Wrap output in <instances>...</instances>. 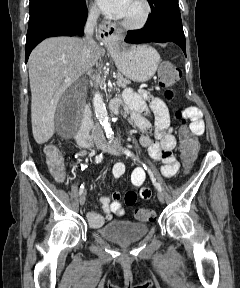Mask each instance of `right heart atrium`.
Instances as JSON below:
<instances>
[{
	"label": "right heart atrium",
	"instance_id": "obj_1",
	"mask_svg": "<svg viewBox=\"0 0 240 288\" xmlns=\"http://www.w3.org/2000/svg\"><path fill=\"white\" fill-rule=\"evenodd\" d=\"M90 14L93 17H97L99 15V10L97 9V7L95 5H91L90 6Z\"/></svg>",
	"mask_w": 240,
	"mask_h": 288
}]
</instances>
